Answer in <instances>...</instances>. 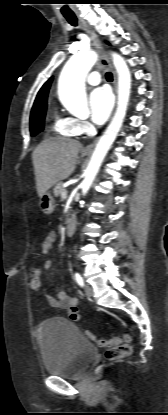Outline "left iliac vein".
I'll return each instance as SVG.
<instances>
[{
    "mask_svg": "<svg viewBox=\"0 0 168 415\" xmlns=\"http://www.w3.org/2000/svg\"><path fill=\"white\" fill-rule=\"evenodd\" d=\"M84 292L88 297H91L93 295V289L89 285H85Z\"/></svg>",
    "mask_w": 168,
    "mask_h": 415,
    "instance_id": "4c4485c4",
    "label": "left iliac vein"
}]
</instances>
